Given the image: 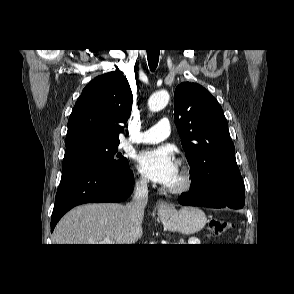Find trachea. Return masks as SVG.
<instances>
[{
  "label": "trachea",
  "instance_id": "1",
  "mask_svg": "<svg viewBox=\"0 0 294 294\" xmlns=\"http://www.w3.org/2000/svg\"><path fill=\"white\" fill-rule=\"evenodd\" d=\"M147 59L151 71H154L158 65L159 49L147 50Z\"/></svg>",
  "mask_w": 294,
  "mask_h": 294
}]
</instances>
